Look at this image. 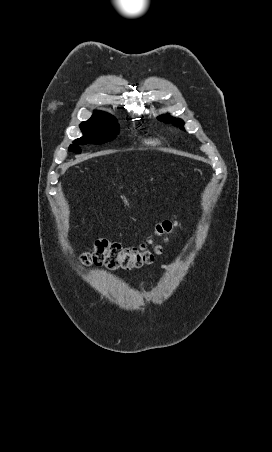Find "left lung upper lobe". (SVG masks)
I'll use <instances>...</instances> for the list:
<instances>
[{
  "instance_id": "1",
  "label": "left lung upper lobe",
  "mask_w": 272,
  "mask_h": 452,
  "mask_svg": "<svg viewBox=\"0 0 272 452\" xmlns=\"http://www.w3.org/2000/svg\"><path fill=\"white\" fill-rule=\"evenodd\" d=\"M159 120L170 123L172 122L174 125L180 126L181 128H183L184 122L180 119H176V118H171L169 115L166 116H160Z\"/></svg>"
}]
</instances>
